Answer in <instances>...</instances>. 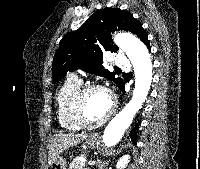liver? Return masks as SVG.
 Masks as SVG:
<instances>
[{"mask_svg":"<svg viewBox=\"0 0 200 169\" xmlns=\"http://www.w3.org/2000/svg\"><path fill=\"white\" fill-rule=\"evenodd\" d=\"M87 138V134H56L50 143L48 163L52 164L60 153L69 148L78 145L84 139Z\"/></svg>","mask_w":200,"mask_h":169,"instance_id":"1","label":"liver"}]
</instances>
